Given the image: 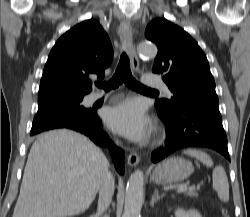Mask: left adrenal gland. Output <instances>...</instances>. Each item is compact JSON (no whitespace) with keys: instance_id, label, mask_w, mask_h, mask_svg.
Returning a JSON list of instances; mask_svg holds the SVG:
<instances>
[{"instance_id":"a2214340","label":"left adrenal gland","mask_w":250,"mask_h":217,"mask_svg":"<svg viewBox=\"0 0 250 217\" xmlns=\"http://www.w3.org/2000/svg\"><path fill=\"white\" fill-rule=\"evenodd\" d=\"M164 194L159 195V192L157 189L154 190V194L152 196V199L150 201V205L153 207L155 202H157L158 200H160L161 198H163Z\"/></svg>"}]
</instances>
